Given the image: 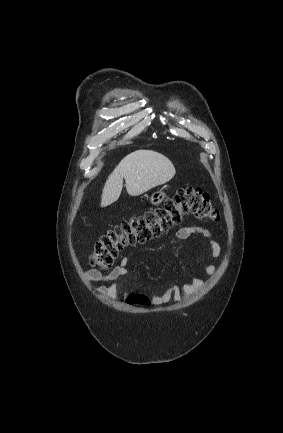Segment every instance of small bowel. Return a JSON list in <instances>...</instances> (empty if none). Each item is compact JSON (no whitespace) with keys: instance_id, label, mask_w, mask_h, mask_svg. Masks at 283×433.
I'll return each instance as SVG.
<instances>
[{"instance_id":"1","label":"small bowel","mask_w":283,"mask_h":433,"mask_svg":"<svg viewBox=\"0 0 283 433\" xmlns=\"http://www.w3.org/2000/svg\"><path fill=\"white\" fill-rule=\"evenodd\" d=\"M174 236L177 240H187L195 236L201 238L209 246L211 258H217L221 253L220 244L216 241L212 233L204 227L197 225L181 227L175 232ZM128 263L129 258L123 257L120 263L108 273H103L99 270L91 269L86 272V278L88 281L91 282L107 283L106 285H101L97 287V292L107 298L116 299L118 296L117 282L128 274ZM215 271L216 268L212 264H208L203 267V272L207 276H212ZM203 285L204 282L201 278L193 277L190 281L185 282L180 286H170L163 293L158 295H151L148 298L150 302L155 305H165L169 302L178 303L182 300L183 297H188L196 293L203 287ZM125 295L129 296L130 293L126 292Z\"/></svg>"}]
</instances>
